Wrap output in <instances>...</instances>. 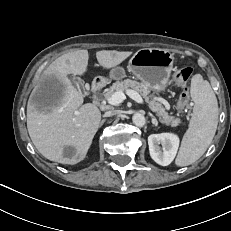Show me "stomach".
Wrapping results in <instances>:
<instances>
[{"label":"stomach","mask_w":231,"mask_h":231,"mask_svg":"<svg viewBox=\"0 0 231 231\" xmlns=\"http://www.w3.org/2000/svg\"><path fill=\"white\" fill-rule=\"evenodd\" d=\"M173 54L165 49L144 48L138 50L129 61V70L150 90L165 91L173 70ZM112 79L124 77L120 67H114L110 72Z\"/></svg>","instance_id":"1"}]
</instances>
